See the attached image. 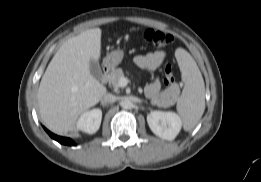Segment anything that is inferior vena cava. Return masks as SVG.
Segmentation results:
<instances>
[{"mask_svg":"<svg viewBox=\"0 0 261 182\" xmlns=\"http://www.w3.org/2000/svg\"><path fill=\"white\" fill-rule=\"evenodd\" d=\"M116 100H117V97L113 94H110V93L104 94L101 98V102L104 103L105 105L109 104V103H113Z\"/></svg>","mask_w":261,"mask_h":182,"instance_id":"602c4592","label":"inferior vena cava"}]
</instances>
